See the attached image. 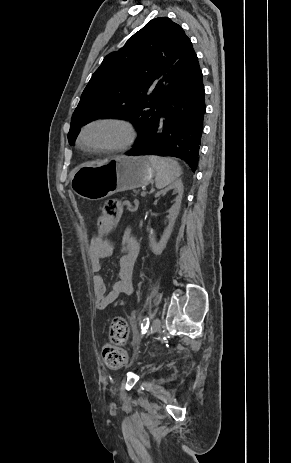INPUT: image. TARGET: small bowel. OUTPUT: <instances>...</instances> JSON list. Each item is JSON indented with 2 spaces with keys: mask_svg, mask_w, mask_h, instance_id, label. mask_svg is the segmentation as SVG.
<instances>
[{
  "mask_svg": "<svg viewBox=\"0 0 291 463\" xmlns=\"http://www.w3.org/2000/svg\"><path fill=\"white\" fill-rule=\"evenodd\" d=\"M108 232V231H107ZM105 233L97 232L89 246L91 270L94 273L92 287L96 297V308L103 310L122 295L133 293V271L139 253V243L126 229L121 243L118 278L108 290L104 277L100 274L103 268L102 260L113 253L112 243Z\"/></svg>",
  "mask_w": 291,
  "mask_h": 463,
  "instance_id": "small-bowel-1",
  "label": "small bowel"
}]
</instances>
